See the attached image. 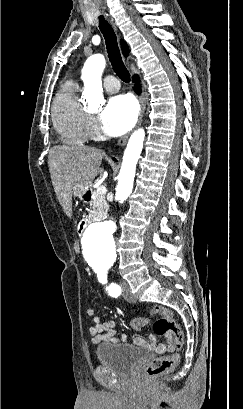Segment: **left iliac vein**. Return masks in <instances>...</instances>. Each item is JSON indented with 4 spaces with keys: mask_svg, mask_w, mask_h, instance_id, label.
<instances>
[{
    "mask_svg": "<svg viewBox=\"0 0 243 409\" xmlns=\"http://www.w3.org/2000/svg\"><path fill=\"white\" fill-rule=\"evenodd\" d=\"M121 289H122V294L123 297L129 301V302H135V297L133 296V294L131 293L130 287L128 285V283L126 281H122L120 283Z\"/></svg>",
    "mask_w": 243,
    "mask_h": 409,
    "instance_id": "4c4485c4",
    "label": "left iliac vein"
}]
</instances>
